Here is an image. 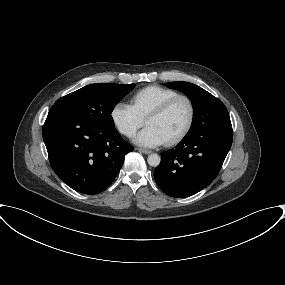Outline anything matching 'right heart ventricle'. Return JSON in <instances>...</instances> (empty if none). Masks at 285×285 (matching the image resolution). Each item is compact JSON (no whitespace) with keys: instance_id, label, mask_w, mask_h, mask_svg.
I'll return each mask as SVG.
<instances>
[{"instance_id":"e07e8e85","label":"right heart ventricle","mask_w":285,"mask_h":285,"mask_svg":"<svg viewBox=\"0 0 285 285\" xmlns=\"http://www.w3.org/2000/svg\"><path fill=\"white\" fill-rule=\"evenodd\" d=\"M176 95L178 92L173 89L151 85L134 93L131 102L138 114L145 119L153 109Z\"/></svg>"}]
</instances>
